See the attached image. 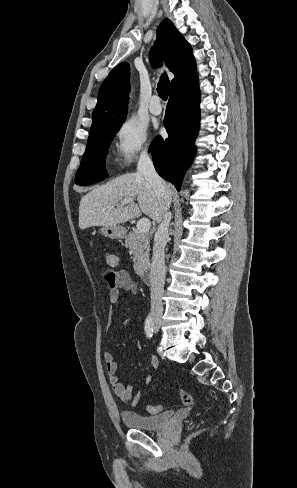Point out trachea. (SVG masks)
<instances>
[{
  "label": "trachea",
  "instance_id": "obj_1",
  "mask_svg": "<svg viewBox=\"0 0 297 488\" xmlns=\"http://www.w3.org/2000/svg\"><path fill=\"white\" fill-rule=\"evenodd\" d=\"M169 78L166 73L161 75L160 80L157 84V92L163 100H167L169 94Z\"/></svg>",
  "mask_w": 297,
  "mask_h": 488
}]
</instances>
